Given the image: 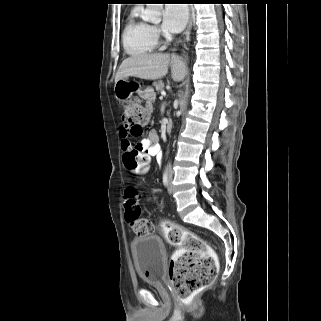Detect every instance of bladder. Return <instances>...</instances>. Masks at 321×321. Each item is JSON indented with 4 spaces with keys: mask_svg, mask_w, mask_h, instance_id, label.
<instances>
[{
    "mask_svg": "<svg viewBox=\"0 0 321 321\" xmlns=\"http://www.w3.org/2000/svg\"><path fill=\"white\" fill-rule=\"evenodd\" d=\"M139 278L147 284L162 282L166 260L163 240L157 235L136 237L130 244Z\"/></svg>",
    "mask_w": 321,
    "mask_h": 321,
    "instance_id": "31cf9c89",
    "label": "bladder"
}]
</instances>
